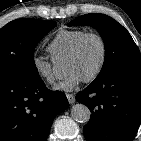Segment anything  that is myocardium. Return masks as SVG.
Here are the masks:
<instances>
[{"label":"myocardium","instance_id":"f54148a6","mask_svg":"<svg viewBox=\"0 0 141 141\" xmlns=\"http://www.w3.org/2000/svg\"><path fill=\"white\" fill-rule=\"evenodd\" d=\"M90 38H94L99 42L101 46V58H100V62L97 69L90 76L85 78L83 80L84 82H92L96 80L101 75V73L103 72L105 68L106 61H107V45L104 38L98 33L87 32L77 41V43L75 44V46L73 47V49L67 56V59L76 58L80 54L85 42Z\"/></svg>","mask_w":141,"mask_h":141}]
</instances>
